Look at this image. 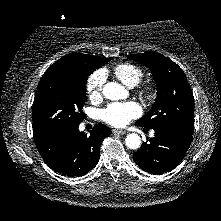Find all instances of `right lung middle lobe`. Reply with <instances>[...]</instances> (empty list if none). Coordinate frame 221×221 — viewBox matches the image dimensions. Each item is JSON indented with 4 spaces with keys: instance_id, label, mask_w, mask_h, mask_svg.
I'll use <instances>...</instances> for the list:
<instances>
[{
    "instance_id": "1",
    "label": "right lung middle lobe",
    "mask_w": 221,
    "mask_h": 221,
    "mask_svg": "<svg viewBox=\"0 0 221 221\" xmlns=\"http://www.w3.org/2000/svg\"><path fill=\"white\" fill-rule=\"evenodd\" d=\"M110 60L111 58H107L105 63ZM94 70L91 67H84L79 72H45L33 102L35 142L82 121L87 77Z\"/></svg>"
}]
</instances>
